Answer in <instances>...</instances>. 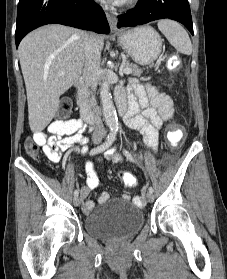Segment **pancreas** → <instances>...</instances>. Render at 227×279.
<instances>
[{"instance_id": "cf45deb5", "label": "pancreas", "mask_w": 227, "mask_h": 279, "mask_svg": "<svg viewBox=\"0 0 227 279\" xmlns=\"http://www.w3.org/2000/svg\"><path fill=\"white\" fill-rule=\"evenodd\" d=\"M123 67L130 68L131 69L130 74L134 76H140L143 73V70L140 67H138L133 63H130L129 61H124ZM84 97L87 99L89 103L94 102V98L90 97V94L87 90L84 91Z\"/></svg>"}]
</instances>
